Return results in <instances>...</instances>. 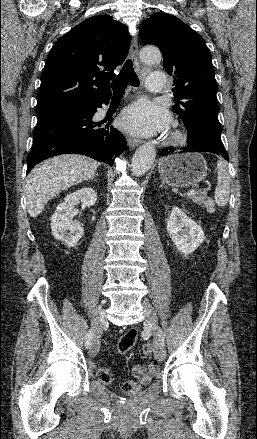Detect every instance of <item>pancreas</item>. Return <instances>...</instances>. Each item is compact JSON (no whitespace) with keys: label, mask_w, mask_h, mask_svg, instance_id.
I'll return each instance as SVG.
<instances>
[{"label":"pancreas","mask_w":257,"mask_h":439,"mask_svg":"<svg viewBox=\"0 0 257 439\" xmlns=\"http://www.w3.org/2000/svg\"><path fill=\"white\" fill-rule=\"evenodd\" d=\"M189 198L201 207H205L207 204L205 193H195L194 195L189 196Z\"/></svg>","instance_id":"1"}]
</instances>
